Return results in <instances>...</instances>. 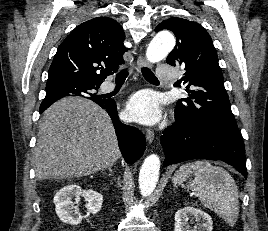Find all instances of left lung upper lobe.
Instances as JSON below:
<instances>
[{
    "instance_id": "obj_1",
    "label": "left lung upper lobe",
    "mask_w": 268,
    "mask_h": 231,
    "mask_svg": "<svg viewBox=\"0 0 268 231\" xmlns=\"http://www.w3.org/2000/svg\"><path fill=\"white\" fill-rule=\"evenodd\" d=\"M162 29L172 31L177 40L167 63L185 70L181 81L188 96L177 102L176 117L187 124L217 127L241 137L210 35L200 24L176 17L162 21L155 31Z\"/></svg>"
}]
</instances>
